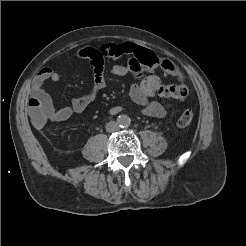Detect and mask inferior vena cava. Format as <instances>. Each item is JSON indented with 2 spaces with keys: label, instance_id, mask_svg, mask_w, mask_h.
<instances>
[{
  "label": "inferior vena cava",
  "instance_id": "1",
  "mask_svg": "<svg viewBox=\"0 0 246 246\" xmlns=\"http://www.w3.org/2000/svg\"><path fill=\"white\" fill-rule=\"evenodd\" d=\"M119 129V125L115 121H110L106 124V131L107 132H115Z\"/></svg>",
  "mask_w": 246,
  "mask_h": 246
}]
</instances>
